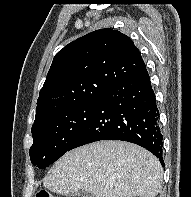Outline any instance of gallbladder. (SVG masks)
I'll return each mask as SVG.
<instances>
[{
	"mask_svg": "<svg viewBox=\"0 0 191 197\" xmlns=\"http://www.w3.org/2000/svg\"><path fill=\"white\" fill-rule=\"evenodd\" d=\"M77 197H94L92 194L84 191V190H81L79 191L78 193H76Z\"/></svg>",
	"mask_w": 191,
	"mask_h": 197,
	"instance_id": "gallbladder-1",
	"label": "gallbladder"
}]
</instances>
